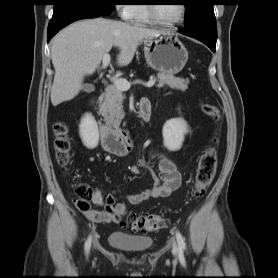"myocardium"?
<instances>
[{
    "mask_svg": "<svg viewBox=\"0 0 278 278\" xmlns=\"http://www.w3.org/2000/svg\"><path fill=\"white\" fill-rule=\"evenodd\" d=\"M154 5L152 4H148L146 5V9H147V14H148V17L151 21V23L155 24V25H158V26H161V27H165V28H173L177 25H179L180 23L183 22L185 16H186V5L185 4H180V7H181V11H180V15L178 17V19H176L175 21L173 22H170V23H166V22H163L161 21L155 14V9H154Z\"/></svg>",
    "mask_w": 278,
    "mask_h": 278,
    "instance_id": "1",
    "label": "myocardium"
}]
</instances>
